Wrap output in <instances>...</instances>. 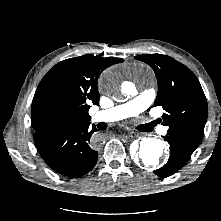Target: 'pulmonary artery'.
<instances>
[{"instance_id": "1", "label": "pulmonary artery", "mask_w": 221, "mask_h": 221, "mask_svg": "<svg viewBox=\"0 0 221 221\" xmlns=\"http://www.w3.org/2000/svg\"><path fill=\"white\" fill-rule=\"evenodd\" d=\"M155 98V91L153 89H148L141 92L135 98L120 104L112 108L97 111L93 115V121L95 122H113L129 117L137 116L143 111H145L153 102ZM145 121L151 126L152 129L158 128L160 133H166V127L156 126V122L152 121L149 118H146Z\"/></svg>"}]
</instances>
